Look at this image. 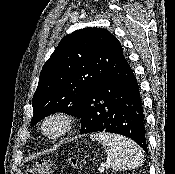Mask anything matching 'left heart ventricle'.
<instances>
[{
  "instance_id": "obj_1",
  "label": "left heart ventricle",
  "mask_w": 175,
  "mask_h": 174,
  "mask_svg": "<svg viewBox=\"0 0 175 174\" xmlns=\"http://www.w3.org/2000/svg\"><path fill=\"white\" fill-rule=\"evenodd\" d=\"M59 127H60L59 123L54 121L48 125L47 129L49 132L53 133V132H56L59 129Z\"/></svg>"
}]
</instances>
